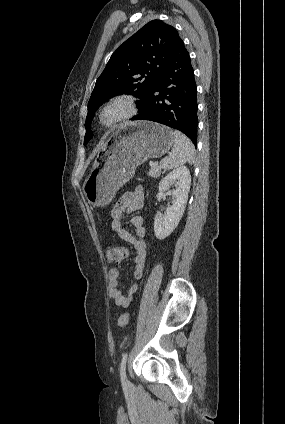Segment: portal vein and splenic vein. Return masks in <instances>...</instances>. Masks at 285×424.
<instances>
[{"label":"portal vein and splenic vein","mask_w":285,"mask_h":424,"mask_svg":"<svg viewBox=\"0 0 285 424\" xmlns=\"http://www.w3.org/2000/svg\"><path fill=\"white\" fill-rule=\"evenodd\" d=\"M150 165H151V166H153V165H154V163H153V162H151V163H150Z\"/></svg>","instance_id":"portal-vein-and-splenic-vein-1"}]
</instances>
